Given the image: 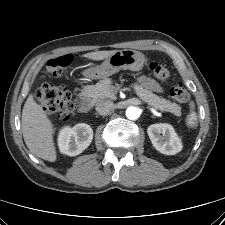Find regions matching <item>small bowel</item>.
<instances>
[{
  "label": "small bowel",
  "instance_id": "small-bowel-1",
  "mask_svg": "<svg viewBox=\"0 0 225 225\" xmlns=\"http://www.w3.org/2000/svg\"><path fill=\"white\" fill-rule=\"evenodd\" d=\"M138 81L147 89L155 91V92H160L162 90L160 84L156 82L154 79L142 75L138 78Z\"/></svg>",
  "mask_w": 225,
  "mask_h": 225
}]
</instances>
